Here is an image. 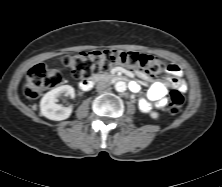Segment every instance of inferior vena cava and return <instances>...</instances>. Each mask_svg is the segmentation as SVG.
Wrapping results in <instances>:
<instances>
[{"mask_svg":"<svg viewBox=\"0 0 222 187\" xmlns=\"http://www.w3.org/2000/svg\"><path fill=\"white\" fill-rule=\"evenodd\" d=\"M109 86V84L105 81H99L96 85V89L97 91H103L105 90L107 87Z\"/></svg>","mask_w":222,"mask_h":187,"instance_id":"obj_1","label":"inferior vena cava"}]
</instances>
